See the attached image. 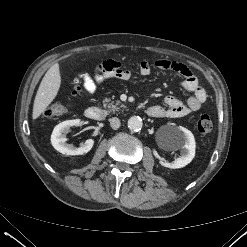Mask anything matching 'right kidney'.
Instances as JSON below:
<instances>
[{
    "label": "right kidney",
    "mask_w": 247,
    "mask_h": 247,
    "mask_svg": "<svg viewBox=\"0 0 247 247\" xmlns=\"http://www.w3.org/2000/svg\"><path fill=\"white\" fill-rule=\"evenodd\" d=\"M80 125V119L67 120L58 124L54 128L51 135L52 146L60 153L66 155H83L88 153L94 145L93 139L86 140V142L79 148H75L72 144L65 143L67 138L63 135V133H67L69 128L72 126Z\"/></svg>",
    "instance_id": "ca27d5eb"
}]
</instances>
